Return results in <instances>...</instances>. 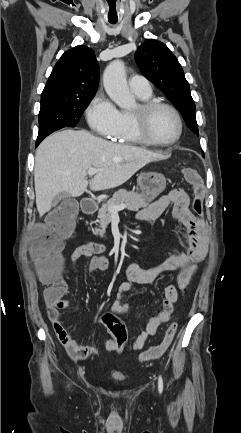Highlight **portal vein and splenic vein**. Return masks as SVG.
Masks as SVG:
<instances>
[{"label":"portal vein and splenic vein","mask_w":241,"mask_h":433,"mask_svg":"<svg viewBox=\"0 0 241 433\" xmlns=\"http://www.w3.org/2000/svg\"><path fill=\"white\" fill-rule=\"evenodd\" d=\"M98 172V169L95 168H89L87 173L89 176H93ZM127 207L126 204H121V205H111L109 206V210L112 213V215H117L119 211L125 209Z\"/></svg>","instance_id":"obj_1"}]
</instances>
